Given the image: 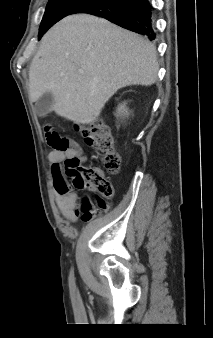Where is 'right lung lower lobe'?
Listing matches in <instances>:
<instances>
[{
  "label": "right lung lower lobe",
  "mask_w": 213,
  "mask_h": 338,
  "mask_svg": "<svg viewBox=\"0 0 213 338\" xmlns=\"http://www.w3.org/2000/svg\"><path fill=\"white\" fill-rule=\"evenodd\" d=\"M88 13L155 39L153 7L150 0H91L72 14Z\"/></svg>",
  "instance_id": "98d812e1"
}]
</instances>
